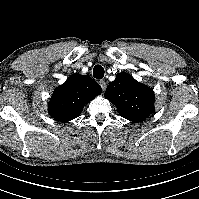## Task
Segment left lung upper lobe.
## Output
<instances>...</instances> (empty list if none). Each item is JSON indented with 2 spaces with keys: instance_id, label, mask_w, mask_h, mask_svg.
<instances>
[{
  "instance_id": "5c2ea615",
  "label": "left lung upper lobe",
  "mask_w": 199,
  "mask_h": 199,
  "mask_svg": "<svg viewBox=\"0 0 199 199\" xmlns=\"http://www.w3.org/2000/svg\"><path fill=\"white\" fill-rule=\"evenodd\" d=\"M119 114L132 122H141L154 112L152 89L136 81L128 73H119L105 92Z\"/></svg>"
}]
</instances>
